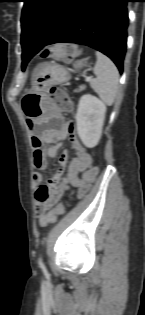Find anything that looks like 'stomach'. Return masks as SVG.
<instances>
[{
	"label": "stomach",
	"instance_id": "0dacf381",
	"mask_svg": "<svg viewBox=\"0 0 145 315\" xmlns=\"http://www.w3.org/2000/svg\"><path fill=\"white\" fill-rule=\"evenodd\" d=\"M85 65L83 60H78L73 67L76 70ZM71 79L70 71L59 64H45L35 77L34 88L26 91L21 98V112H25L27 120L39 122L40 117L44 116L46 103L43 102L44 91H50L53 84H61Z\"/></svg>",
	"mask_w": 145,
	"mask_h": 315
}]
</instances>
